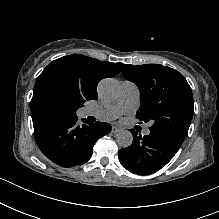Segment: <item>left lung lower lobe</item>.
<instances>
[{
  "label": "left lung lower lobe",
  "instance_id": "1",
  "mask_svg": "<svg viewBox=\"0 0 219 219\" xmlns=\"http://www.w3.org/2000/svg\"><path fill=\"white\" fill-rule=\"evenodd\" d=\"M130 146L119 150L122 166L132 173L149 175L163 168L177 153L181 144L162 134L150 131L143 136L134 130Z\"/></svg>",
  "mask_w": 219,
  "mask_h": 219
}]
</instances>
